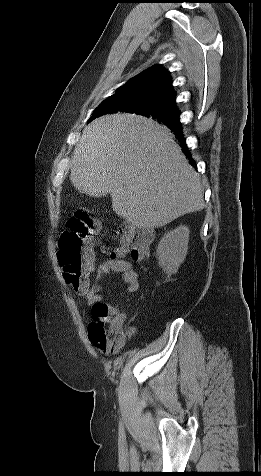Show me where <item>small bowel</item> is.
Here are the masks:
<instances>
[{
    "mask_svg": "<svg viewBox=\"0 0 261 476\" xmlns=\"http://www.w3.org/2000/svg\"><path fill=\"white\" fill-rule=\"evenodd\" d=\"M110 272L119 273L121 275L122 281L125 284L126 293H133L137 291L139 287L138 274L129 261L123 258H108L98 264L93 283L87 285L85 289L78 290L85 297L87 304L91 306L92 309L97 304L103 303V296L101 294L102 280ZM125 321V313L114 311L110 320V326L114 329L123 331ZM124 333L125 338H127V336L132 333V330Z\"/></svg>",
    "mask_w": 261,
    "mask_h": 476,
    "instance_id": "1",
    "label": "small bowel"
}]
</instances>
